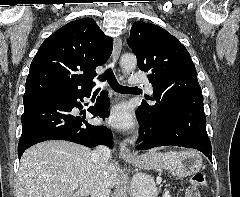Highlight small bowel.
<instances>
[{
    "label": "small bowel",
    "mask_w": 240,
    "mask_h": 197,
    "mask_svg": "<svg viewBox=\"0 0 240 197\" xmlns=\"http://www.w3.org/2000/svg\"><path fill=\"white\" fill-rule=\"evenodd\" d=\"M186 197H199L198 190L195 187L190 186L187 189V196Z\"/></svg>",
    "instance_id": "c3829d8e"
}]
</instances>
